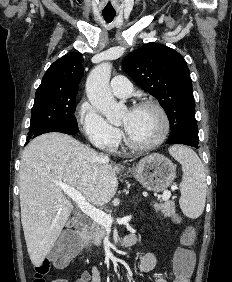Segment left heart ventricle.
Returning <instances> with one entry per match:
<instances>
[{"label": "left heart ventricle", "instance_id": "1", "mask_svg": "<svg viewBox=\"0 0 232 282\" xmlns=\"http://www.w3.org/2000/svg\"><path fill=\"white\" fill-rule=\"evenodd\" d=\"M121 125L136 143H149L162 131V119L152 108H139L124 113Z\"/></svg>", "mask_w": 232, "mask_h": 282}]
</instances>
